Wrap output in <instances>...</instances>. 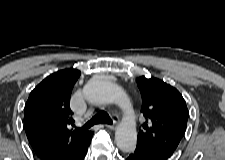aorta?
Masks as SVG:
<instances>
[{
    "instance_id": "762f6f07",
    "label": "aorta",
    "mask_w": 225,
    "mask_h": 160,
    "mask_svg": "<svg viewBox=\"0 0 225 160\" xmlns=\"http://www.w3.org/2000/svg\"><path fill=\"white\" fill-rule=\"evenodd\" d=\"M85 98L92 104L117 103L119 106L129 111V102L123 90L116 84L96 80L84 87ZM115 141L117 147L123 152H132L137 145V131L132 117H127L116 129Z\"/></svg>"
}]
</instances>
